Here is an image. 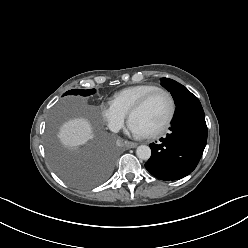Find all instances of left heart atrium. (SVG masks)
Listing matches in <instances>:
<instances>
[{
	"instance_id": "obj_1",
	"label": "left heart atrium",
	"mask_w": 248,
	"mask_h": 248,
	"mask_svg": "<svg viewBox=\"0 0 248 248\" xmlns=\"http://www.w3.org/2000/svg\"><path fill=\"white\" fill-rule=\"evenodd\" d=\"M128 130L131 134H133L134 136H137V137H142V136L146 135V133L143 131V129L131 120L128 124Z\"/></svg>"
}]
</instances>
